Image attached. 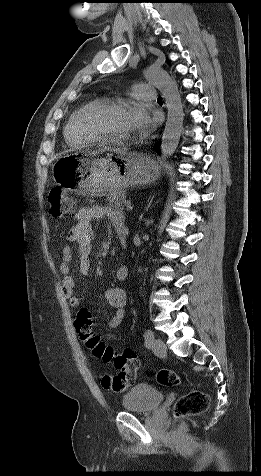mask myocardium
I'll use <instances>...</instances> for the list:
<instances>
[{
    "mask_svg": "<svg viewBox=\"0 0 261 476\" xmlns=\"http://www.w3.org/2000/svg\"><path fill=\"white\" fill-rule=\"evenodd\" d=\"M132 104L123 100H100L87 106L80 114L78 126L81 133L96 141L125 142L128 136L117 135L97 123L100 115H104L119 109L129 108Z\"/></svg>",
    "mask_w": 261,
    "mask_h": 476,
    "instance_id": "f54148a6",
    "label": "myocardium"
}]
</instances>
